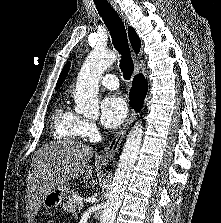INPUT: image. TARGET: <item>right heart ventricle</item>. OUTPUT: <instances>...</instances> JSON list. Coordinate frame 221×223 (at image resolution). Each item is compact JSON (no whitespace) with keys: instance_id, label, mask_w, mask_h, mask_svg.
<instances>
[{"instance_id":"right-heart-ventricle-1","label":"right heart ventricle","mask_w":221,"mask_h":223,"mask_svg":"<svg viewBox=\"0 0 221 223\" xmlns=\"http://www.w3.org/2000/svg\"><path fill=\"white\" fill-rule=\"evenodd\" d=\"M82 118L64 104L58 106L52 115V136L56 140L74 142L83 136Z\"/></svg>"}]
</instances>
